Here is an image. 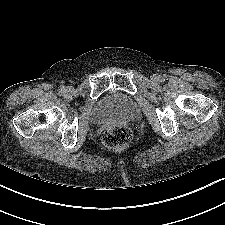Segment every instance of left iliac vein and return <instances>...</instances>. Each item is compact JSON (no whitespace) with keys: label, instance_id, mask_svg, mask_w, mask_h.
I'll return each mask as SVG.
<instances>
[{"label":"left iliac vein","instance_id":"1","mask_svg":"<svg viewBox=\"0 0 225 225\" xmlns=\"http://www.w3.org/2000/svg\"><path fill=\"white\" fill-rule=\"evenodd\" d=\"M151 79L153 81H158L159 77L156 74H154V75L151 76Z\"/></svg>","mask_w":225,"mask_h":225}]
</instances>
